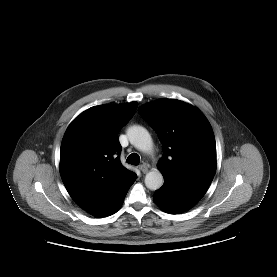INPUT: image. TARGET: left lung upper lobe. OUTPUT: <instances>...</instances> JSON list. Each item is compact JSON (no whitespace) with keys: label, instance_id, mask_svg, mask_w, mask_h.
Masks as SVG:
<instances>
[{"label":"left lung upper lobe","instance_id":"5c2ea615","mask_svg":"<svg viewBox=\"0 0 277 277\" xmlns=\"http://www.w3.org/2000/svg\"><path fill=\"white\" fill-rule=\"evenodd\" d=\"M163 147L158 163L164 181L208 189L216 172V143L205 116L176 99H160L139 108Z\"/></svg>","mask_w":277,"mask_h":277}]
</instances>
